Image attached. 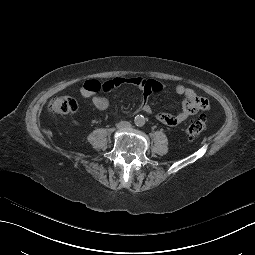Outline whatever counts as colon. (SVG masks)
<instances>
[{
  "label": "colon",
  "mask_w": 255,
  "mask_h": 255,
  "mask_svg": "<svg viewBox=\"0 0 255 255\" xmlns=\"http://www.w3.org/2000/svg\"><path fill=\"white\" fill-rule=\"evenodd\" d=\"M79 108L75 98L70 96H56L51 99L48 110L54 114H72ZM208 127V123L204 117L193 119L186 128V135L194 138L203 133Z\"/></svg>",
  "instance_id": "obj_1"
}]
</instances>
